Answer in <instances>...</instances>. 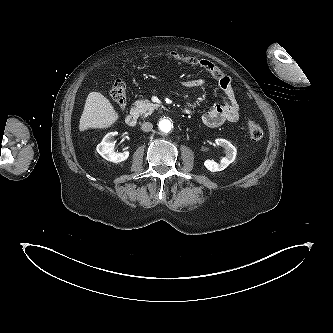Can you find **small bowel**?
<instances>
[{
  "label": "small bowel",
  "mask_w": 333,
  "mask_h": 333,
  "mask_svg": "<svg viewBox=\"0 0 333 333\" xmlns=\"http://www.w3.org/2000/svg\"><path fill=\"white\" fill-rule=\"evenodd\" d=\"M205 84L202 79H187L183 85L189 88L200 87ZM219 86L224 94L220 104L213 105L202 117V121L209 127H217L224 122H237L240 117V108L237 103L231 80L225 76L219 80Z\"/></svg>",
  "instance_id": "small-bowel-1"
}]
</instances>
